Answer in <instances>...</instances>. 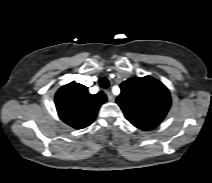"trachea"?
I'll return each mask as SVG.
<instances>
[{
    "label": "trachea",
    "mask_w": 212,
    "mask_h": 183,
    "mask_svg": "<svg viewBox=\"0 0 212 183\" xmlns=\"http://www.w3.org/2000/svg\"><path fill=\"white\" fill-rule=\"evenodd\" d=\"M99 85L101 88L107 89L110 86V83L106 77H101L99 79Z\"/></svg>",
    "instance_id": "obj_1"
}]
</instances>
